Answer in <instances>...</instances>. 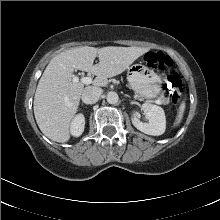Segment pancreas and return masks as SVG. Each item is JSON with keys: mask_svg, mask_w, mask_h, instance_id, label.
<instances>
[{"mask_svg": "<svg viewBox=\"0 0 220 220\" xmlns=\"http://www.w3.org/2000/svg\"><path fill=\"white\" fill-rule=\"evenodd\" d=\"M159 100L162 102V104H168L169 103V99L164 97V96H161L159 98Z\"/></svg>", "mask_w": 220, "mask_h": 220, "instance_id": "obj_1", "label": "pancreas"}]
</instances>
